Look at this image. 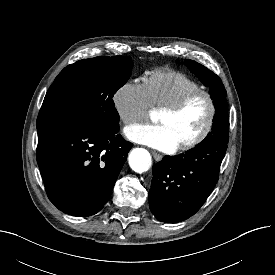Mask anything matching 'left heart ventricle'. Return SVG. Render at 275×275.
<instances>
[{"label": "left heart ventricle", "mask_w": 275, "mask_h": 275, "mask_svg": "<svg viewBox=\"0 0 275 275\" xmlns=\"http://www.w3.org/2000/svg\"><path fill=\"white\" fill-rule=\"evenodd\" d=\"M207 116V100L205 97L199 96L177 114L159 112L156 120L158 123L166 125L180 144L194 138L201 132Z\"/></svg>", "instance_id": "b2bd125f"}]
</instances>
